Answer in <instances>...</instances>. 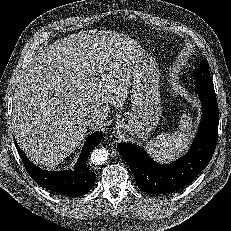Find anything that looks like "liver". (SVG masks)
Returning a JSON list of instances; mask_svg holds the SVG:
<instances>
[{
	"label": "liver",
	"instance_id": "obj_1",
	"mask_svg": "<svg viewBox=\"0 0 231 231\" xmlns=\"http://www.w3.org/2000/svg\"><path fill=\"white\" fill-rule=\"evenodd\" d=\"M142 54L129 37L93 29L56 40L36 56L13 95L14 133L27 157L54 168L72 154L86 137L89 116L103 122L111 106L123 105Z\"/></svg>",
	"mask_w": 231,
	"mask_h": 231
}]
</instances>
